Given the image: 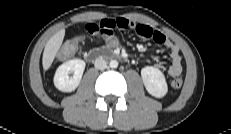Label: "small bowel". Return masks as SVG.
Returning a JSON list of instances; mask_svg holds the SVG:
<instances>
[{"mask_svg":"<svg viewBox=\"0 0 231 134\" xmlns=\"http://www.w3.org/2000/svg\"><path fill=\"white\" fill-rule=\"evenodd\" d=\"M133 30L142 38L152 39L156 43L164 45L168 50H170L171 65L167 69V73L172 76H179L182 73V61L179 47L174 44L168 37H166L162 32L154 30L152 27L130 21L126 18L117 19H103L99 23H91L84 26V36L83 39L87 41L90 36H101L109 45H118V39L115 35V30ZM164 69L163 66H160Z\"/></svg>","mask_w":231,"mask_h":134,"instance_id":"1","label":"small bowel"}]
</instances>
